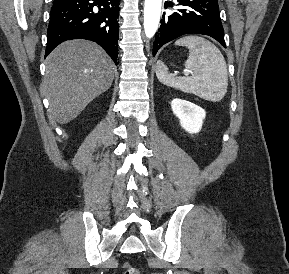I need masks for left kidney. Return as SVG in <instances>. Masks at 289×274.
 Returning a JSON list of instances; mask_svg holds the SVG:
<instances>
[{
  "label": "left kidney",
  "mask_w": 289,
  "mask_h": 274,
  "mask_svg": "<svg viewBox=\"0 0 289 274\" xmlns=\"http://www.w3.org/2000/svg\"><path fill=\"white\" fill-rule=\"evenodd\" d=\"M173 113L179 118L180 125L188 133H198L205 119L206 112L201 107L182 99H173L171 102Z\"/></svg>",
  "instance_id": "1"
}]
</instances>
